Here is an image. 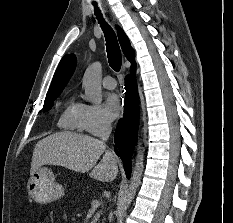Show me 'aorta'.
Returning a JSON list of instances; mask_svg holds the SVG:
<instances>
[{"instance_id": "obj_1", "label": "aorta", "mask_w": 233, "mask_h": 223, "mask_svg": "<svg viewBox=\"0 0 233 223\" xmlns=\"http://www.w3.org/2000/svg\"><path fill=\"white\" fill-rule=\"evenodd\" d=\"M101 80H102V66L100 62H94V64H91V66L87 68L83 76L82 86L85 90L84 100H87V102H91V104H95V106H97V104H101L102 102ZM143 167H144V147H142V143L140 139H138L136 163L133 167L131 181L128 187V193H126L125 205H129L132 199H134L136 189L138 185H140L141 183Z\"/></svg>"}]
</instances>
